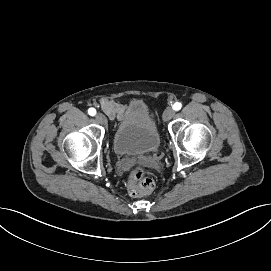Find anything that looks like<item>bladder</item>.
<instances>
[{"instance_id": "obj_1", "label": "bladder", "mask_w": 271, "mask_h": 271, "mask_svg": "<svg viewBox=\"0 0 271 271\" xmlns=\"http://www.w3.org/2000/svg\"><path fill=\"white\" fill-rule=\"evenodd\" d=\"M132 115L124 119L115 129L113 150L118 156L147 154L159 149L161 136L153 118L149 117L145 105L134 103Z\"/></svg>"}]
</instances>
